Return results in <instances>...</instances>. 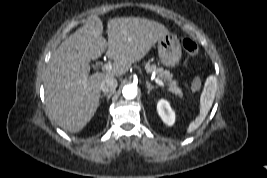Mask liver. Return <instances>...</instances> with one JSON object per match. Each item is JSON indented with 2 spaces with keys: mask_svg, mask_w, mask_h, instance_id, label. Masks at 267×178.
<instances>
[{
  "mask_svg": "<svg viewBox=\"0 0 267 178\" xmlns=\"http://www.w3.org/2000/svg\"><path fill=\"white\" fill-rule=\"evenodd\" d=\"M102 33V21L91 17L51 56L44 79L46 107L51 119L65 131H81L99 105L101 82L124 75L169 31L155 21L123 17L108 21V42ZM105 51L114 60L112 71L89 75V62Z\"/></svg>",
  "mask_w": 267,
  "mask_h": 178,
  "instance_id": "liver-1",
  "label": "liver"
}]
</instances>
